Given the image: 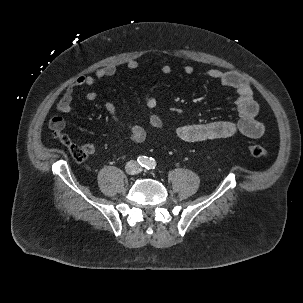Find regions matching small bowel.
<instances>
[{
  "mask_svg": "<svg viewBox=\"0 0 303 303\" xmlns=\"http://www.w3.org/2000/svg\"><path fill=\"white\" fill-rule=\"evenodd\" d=\"M139 66L136 60H129L126 67L129 70H135ZM117 68L115 65H107L99 68L93 75L80 76L76 78L65 90L64 94L57 103L56 109L61 114H68L72 110V100L74 90L77 87H91L98 81L115 75ZM171 72L169 64H164L160 73L168 75ZM186 75H191L194 68L187 65L183 68ZM204 76L217 80L223 86L232 89L235 92V105L239 114L236 121H213L208 123H194L176 126L175 135L186 142H200L205 140L227 138L235 134H242L249 138H259L264 133V125L256 119L259 111L257 102L253 98V91L248 81L236 72L222 71L219 69L206 70ZM87 100L94 101L97 98L96 91H89L86 95ZM146 106L150 109L157 105L156 97L149 95L145 100ZM105 110L111 119L120 127L125 129L134 143H141L146 139L147 132L144 127L131 121L124 120L120 116L114 103L107 101L104 105ZM147 123L151 129H159L163 125L162 119L151 114ZM51 127L64 129L65 120L62 116H54L50 121ZM84 149L87 154L95 153V146L91 143H85Z\"/></svg>",
  "mask_w": 303,
  "mask_h": 303,
  "instance_id": "obj_1",
  "label": "small bowel"
}]
</instances>
